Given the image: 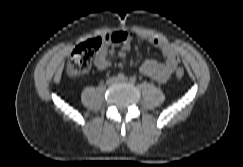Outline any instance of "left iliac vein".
I'll use <instances>...</instances> for the list:
<instances>
[{"label":"left iliac vein","mask_w":243,"mask_h":167,"mask_svg":"<svg viewBox=\"0 0 243 167\" xmlns=\"http://www.w3.org/2000/svg\"><path fill=\"white\" fill-rule=\"evenodd\" d=\"M118 81L127 82L128 80H127V78H125V79L118 80Z\"/></svg>","instance_id":"obj_1"}]
</instances>
